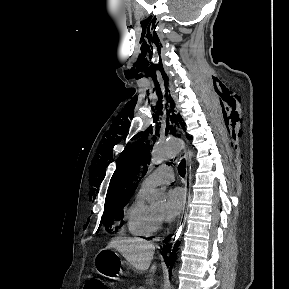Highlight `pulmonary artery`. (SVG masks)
<instances>
[{
  "instance_id": "e3ab8cb5",
  "label": "pulmonary artery",
  "mask_w": 289,
  "mask_h": 289,
  "mask_svg": "<svg viewBox=\"0 0 289 289\" xmlns=\"http://www.w3.org/2000/svg\"><path fill=\"white\" fill-rule=\"evenodd\" d=\"M174 180V172L170 166L163 165L148 176H146L141 183V190H149L155 186L162 184H169Z\"/></svg>"
}]
</instances>
